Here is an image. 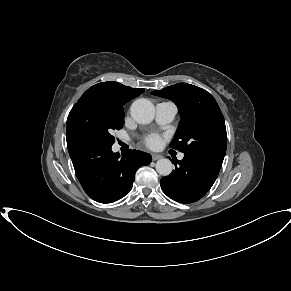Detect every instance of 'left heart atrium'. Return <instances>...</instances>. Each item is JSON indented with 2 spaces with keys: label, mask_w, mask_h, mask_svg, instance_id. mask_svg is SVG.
<instances>
[{
  "label": "left heart atrium",
  "mask_w": 291,
  "mask_h": 291,
  "mask_svg": "<svg viewBox=\"0 0 291 291\" xmlns=\"http://www.w3.org/2000/svg\"><path fill=\"white\" fill-rule=\"evenodd\" d=\"M144 142L150 148H158L162 143V139L158 134H150L145 137Z\"/></svg>",
  "instance_id": "1"
}]
</instances>
